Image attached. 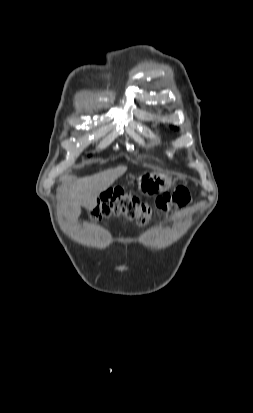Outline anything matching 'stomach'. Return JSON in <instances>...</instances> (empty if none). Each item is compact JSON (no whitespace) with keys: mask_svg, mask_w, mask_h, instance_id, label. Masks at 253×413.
<instances>
[{"mask_svg":"<svg viewBox=\"0 0 253 413\" xmlns=\"http://www.w3.org/2000/svg\"><path fill=\"white\" fill-rule=\"evenodd\" d=\"M171 180L163 174L144 172L138 179V189L146 196H155L171 187Z\"/></svg>","mask_w":253,"mask_h":413,"instance_id":"0dacf381","label":"stomach"}]
</instances>
